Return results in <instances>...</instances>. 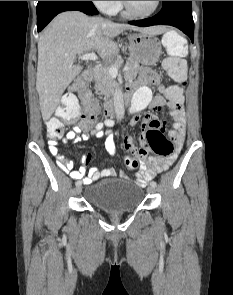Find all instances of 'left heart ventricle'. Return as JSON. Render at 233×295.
<instances>
[{"mask_svg":"<svg viewBox=\"0 0 233 295\" xmlns=\"http://www.w3.org/2000/svg\"><path fill=\"white\" fill-rule=\"evenodd\" d=\"M156 1H129L132 9L140 14H145L150 12L154 6Z\"/></svg>","mask_w":233,"mask_h":295,"instance_id":"obj_1","label":"left heart ventricle"}]
</instances>
